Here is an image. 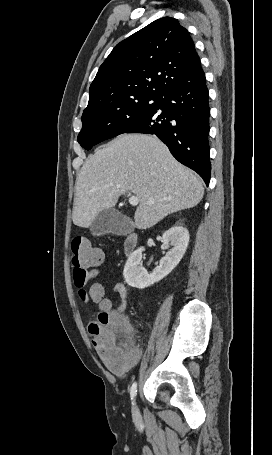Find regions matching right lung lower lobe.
<instances>
[{"label":"right lung lower lobe","mask_w":272,"mask_h":455,"mask_svg":"<svg viewBox=\"0 0 272 455\" xmlns=\"http://www.w3.org/2000/svg\"><path fill=\"white\" fill-rule=\"evenodd\" d=\"M125 133L154 134L182 164L210 181L209 104L205 74L161 96L156 109Z\"/></svg>","instance_id":"98d812e1"}]
</instances>
